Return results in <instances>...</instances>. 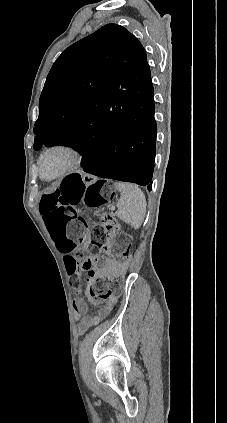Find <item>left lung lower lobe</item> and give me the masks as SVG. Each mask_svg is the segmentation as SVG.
Returning <instances> with one entry per match:
<instances>
[{
  "label": "left lung lower lobe",
  "mask_w": 227,
  "mask_h": 423,
  "mask_svg": "<svg viewBox=\"0 0 227 423\" xmlns=\"http://www.w3.org/2000/svg\"><path fill=\"white\" fill-rule=\"evenodd\" d=\"M156 132L152 89L142 112H109L94 131L84 137H75L64 145L82 155L85 172L136 183L151 190Z\"/></svg>",
  "instance_id": "left-lung-lower-lobe-1"
}]
</instances>
